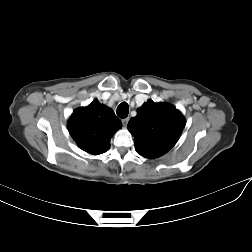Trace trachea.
<instances>
[{
	"instance_id": "1",
	"label": "trachea",
	"mask_w": 252,
	"mask_h": 252,
	"mask_svg": "<svg viewBox=\"0 0 252 252\" xmlns=\"http://www.w3.org/2000/svg\"><path fill=\"white\" fill-rule=\"evenodd\" d=\"M128 112H129V108H128V104L126 102L121 103L117 107V115L120 118H126L128 116Z\"/></svg>"
}]
</instances>
